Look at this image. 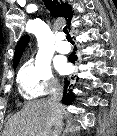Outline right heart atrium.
<instances>
[{"instance_id":"1","label":"right heart atrium","mask_w":117,"mask_h":136,"mask_svg":"<svg viewBox=\"0 0 117 136\" xmlns=\"http://www.w3.org/2000/svg\"><path fill=\"white\" fill-rule=\"evenodd\" d=\"M17 81L22 95L28 100L57 95L59 81L47 61L35 59L26 62L19 70Z\"/></svg>"}]
</instances>
